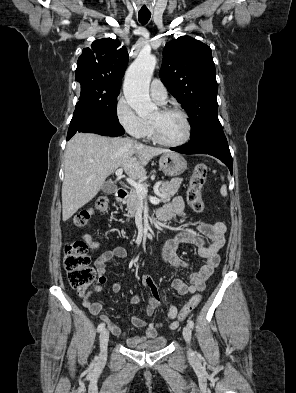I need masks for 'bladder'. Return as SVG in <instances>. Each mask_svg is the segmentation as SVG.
Segmentation results:
<instances>
[{"label":"bladder","mask_w":296,"mask_h":393,"mask_svg":"<svg viewBox=\"0 0 296 393\" xmlns=\"http://www.w3.org/2000/svg\"><path fill=\"white\" fill-rule=\"evenodd\" d=\"M166 344H167V338L164 336H159L143 344L132 346V348L137 351L152 352V351H158L163 349L166 346Z\"/></svg>","instance_id":"31cf9c89"}]
</instances>
